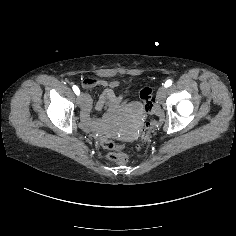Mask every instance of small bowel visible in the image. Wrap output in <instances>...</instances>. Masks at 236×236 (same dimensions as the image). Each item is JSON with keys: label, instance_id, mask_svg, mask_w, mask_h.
Returning a JSON list of instances; mask_svg holds the SVG:
<instances>
[{"label": "small bowel", "instance_id": "small-bowel-1", "mask_svg": "<svg viewBox=\"0 0 236 236\" xmlns=\"http://www.w3.org/2000/svg\"><path fill=\"white\" fill-rule=\"evenodd\" d=\"M89 81H92L90 83H84L83 86L84 87H88V88H91V87H95V86H98V85H103V86H108V87H116L118 85L117 81H112V82H107L105 80H100V79H87ZM108 90H111V89H108ZM107 90V91H108ZM89 98L91 100V98L89 96H84V105L86 103V99ZM97 109H100L98 106H96ZM83 114V112H82ZM87 115L89 116V111L87 112Z\"/></svg>", "mask_w": 236, "mask_h": 236}]
</instances>
